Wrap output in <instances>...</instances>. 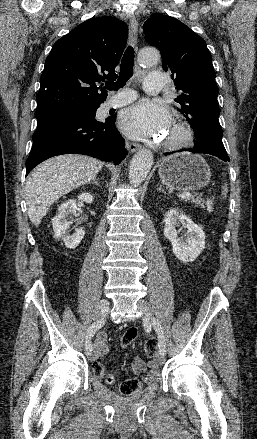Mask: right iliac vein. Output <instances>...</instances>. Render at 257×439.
Returning <instances> with one entry per match:
<instances>
[{"label":"right iliac vein","mask_w":257,"mask_h":439,"mask_svg":"<svg viewBox=\"0 0 257 439\" xmlns=\"http://www.w3.org/2000/svg\"><path fill=\"white\" fill-rule=\"evenodd\" d=\"M109 312V302L107 300H101L98 304L95 319H101L104 318ZM88 358L90 361H94L96 359L95 352H91L88 355Z\"/></svg>","instance_id":"1"}]
</instances>
